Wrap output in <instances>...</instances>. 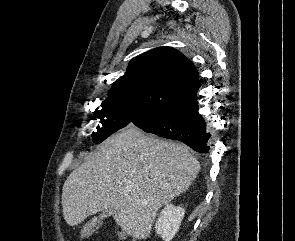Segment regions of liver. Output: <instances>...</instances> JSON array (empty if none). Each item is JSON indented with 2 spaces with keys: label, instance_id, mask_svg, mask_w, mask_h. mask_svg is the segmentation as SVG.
Segmentation results:
<instances>
[{
  "label": "liver",
  "instance_id": "obj_1",
  "mask_svg": "<svg viewBox=\"0 0 295 241\" xmlns=\"http://www.w3.org/2000/svg\"><path fill=\"white\" fill-rule=\"evenodd\" d=\"M199 170L185 145L130 127L106 139L68 176L62 191L64 219L75 226L112 209L123 231L146 239L159 209L185 192Z\"/></svg>",
  "mask_w": 295,
  "mask_h": 241
}]
</instances>
